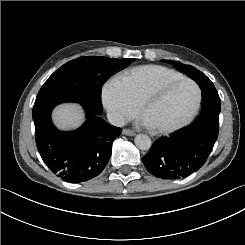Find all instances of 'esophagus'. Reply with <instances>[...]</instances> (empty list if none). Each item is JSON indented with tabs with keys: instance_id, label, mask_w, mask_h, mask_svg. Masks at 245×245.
Returning a JSON list of instances; mask_svg holds the SVG:
<instances>
[{
	"instance_id": "esophagus-1",
	"label": "esophagus",
	"mask_w": 245,
	"mask_h": 245,
	"mask_svg": "<svg viewBox=\"0 0 245 245\" xmlns=\"http://www.w3.org/2000/svg\"><path fill=\"white\" fill-rule=\"evenodd\" d=\"M122 134H124L126 136H134L135 132H133L131 130L123 129Z\"/></svg>"
}]
</instances>
